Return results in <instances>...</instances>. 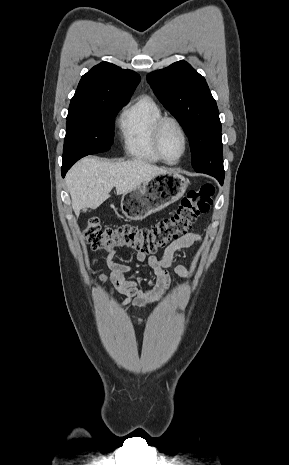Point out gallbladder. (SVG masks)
I'll use <instances>...</instances> for the list:
<instances>
[{
	"label": "gallbladder",
	"mask_w": 289,
	"mask_h": 465,
	"mask_svg": "<svg viewBox=\"0 0 289 465\" xmlns=\"http://www.w3.org/2000/svg\"><path fill=\"white\" fill-rule=\"evenodd\" d=\"M83 211L86 212V209L84 208Z\"/></svg>",
	"instance_id": "bac80fb5"
}]
</instances>
